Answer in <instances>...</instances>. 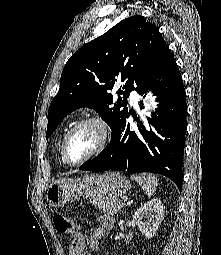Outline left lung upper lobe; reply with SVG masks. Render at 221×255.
I'll return each instance as SVG.
<instances>
[{
  "label": "left lung upper lobe",
  "instance_id": "1",
  "mask_svg": "<svg viewBox=\"0 0 221 255\" xmlns=\"http://www.w3.org/2000/svg\"><path fill=\"white\" fill-rule=\"evenodd\" d=\"M166 48L156 26L139 15L122 20L81 47L63 69L60 89L48 111L46 138L80 107L93 108L113 133L129 113L125 98L132 90L139 91ZM119 81L123 83L119 98L113 101L109 91Z\"/></svg>",
  "mask_w": 221,
  "mask_h": 255
}]
</instances>
